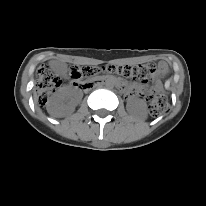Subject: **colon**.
<instances>
[{
	"label": "colon",
	"mask_w": 206,
	"mask_h": 206,
	"mask_svg": "<svg viewBox=\"0 0 206 206\" xmlns=\"http://www.w3.org/2000/svg\"><path fill=\"white\" fill-rule=\"evenodd\" d=\"M117 73L127 78H134L138 80H147L150 73L153 71L147 66L132 67L129 65L115 66L107 65L105 67L95 66H75L70 70V76L74 80L86 79L96 75L99 72ZM61 84L59 77L55 76L47 65H41L37 71V92L38 103L44 105L49 95L55 91ZM149 109L153 115H159L167 110L168 102L165 97L160 95H150Z\"/></svg>",
	"instance_id": "5ec220e1"
}]
</instances>
